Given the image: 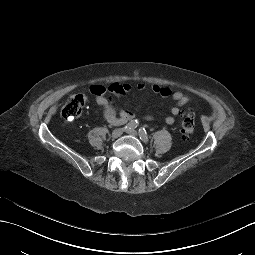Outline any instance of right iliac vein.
Wrapping results in <instances>:
<instances>
[{"instance_id":"1","label":"right iliac vein","mask_w":255,"mask_h":255,"mask_svg":"<svg viewBox=\"0 0 255 255\" xmlns=\"http://www.w3.org/2000/svg\"><path fill=\"white\" fill-rule=\"evenodd\" d=\"M122 133H123V130H122V129H115V130L112 132L111 137H112L113 139H116V138L120 137V136L122 135Z\"/></svg>"}]
</instances>
